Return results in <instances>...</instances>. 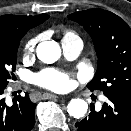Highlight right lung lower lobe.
I'll use <instances>...</instances> for the list:
<instances>
[{"mask_svg": "<svg viewBox=\"0 0 131 131\" xmlns=\"http://www.w3.org/2000/svg\"><path fill=\"white\" fill-rule=\"evenodd\" d=\"M0 88V131H31L35 124V107L26 93L19 96L12 106H7Z\"/></svg>", "mask_w": 131, "mask_h": 131, "instance_id": "1", "label": "right lung lower lobe"}]
</instances>
